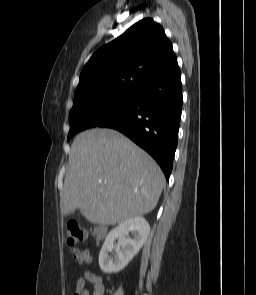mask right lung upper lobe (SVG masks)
<instances>
[{"mask_svg": "<svg viewBox=\"0 0 256 295\" xmlns=\"http://www.w3.org/2000/svg\"><path fill=\"white\" fill-rule=\"evenodd\" d=\"M174 56L163 28L151 18L143 19L92 55L81 72L74 100L136 92Z\"/></svg>", "mask_w": 256, "mask_h": 295, "instance_id": "cb5924a9", "label": "right lung upper lobe"}]
</instances>
